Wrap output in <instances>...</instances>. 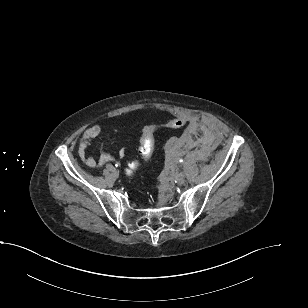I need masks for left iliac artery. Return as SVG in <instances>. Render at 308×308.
Instances as JSON below:
<instances>
[{
	"label": "left iliac artery",
	"instance_id": "left-iliac-artery-1",
	"mask_svg": "<svg viewBox=\"0 0 308 308\" xmlns=\"http://www.w3.org/2000/svg\"><path fill=\"white\" fill-rule=\"evenodd\" d=\"M179 161H180V162H183V160H182V159H180Z\"/></svg>",
	"mask_w": 308,
	"mask_h": 308
}]
</instances>
